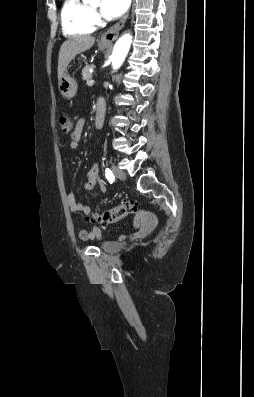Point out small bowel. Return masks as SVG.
Masks as SVG:
<instances>
[{
    "label": "small bowel",
    "mask_w": 254,
    "mask_h": 397,
    "mask_svg": "<svg viewBox=\"0 0 254 397\" xmlns=\"http://www.w3.org/2000/svg\"><path fill=\"white\" fill-rule=\"evenodd\" d=\"M84 126H85V120L83 118H80L76 122L74 129L71 132V139H70V143H69V148L71 151L78 150L79 141L81 139V136H82V133L84 130ZM97 185H99V187L103 193L106 192V190H107L106 186L102 182L101 177H100L99 166L97 164H94L88 172L85 189L87 191H91ZM67 202H68L69 208L72 212H82L86 215H89L93 211L92 207L78 202L74 192H72V191L69 192L67 195ZM146 222H147V216L144 213H140L138 215L137 226L143 225ZM76 235H77V238L81 241L99 239L102 237L101 230L98 227H94L89 231L79 228V229H77Z\"/></svg>",
    "instance_id": "c3829d8e"
}]
</instances>
